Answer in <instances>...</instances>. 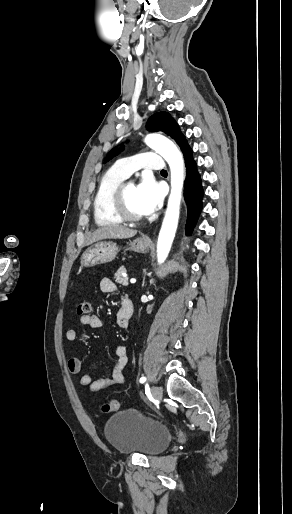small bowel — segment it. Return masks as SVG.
Instances as JSON below:
<instances>
[{
	"instance_id": "c3829d8e",
	"label": "small bowel",
	"mask_w": 292,
	"mask_h": 514,
	"mask_svg": "<svg viewBox=\"0 0 292 514\" xmlns=\"http://www.w3.org/2000/svg\"><path fill=\"white\" fill-rule=\"evenodd\" d=\"M100 290L105 294H113L116 292V285L110 278H102L100 281ZM130 318H127L125 312L120 306L116 313V323L120 329H127L129 327ZM79 322L82 326H88L92 329H100L102 327V319L97 314H89L81 316ZM79 337V331L75 327H71L66 332V338L69 341H76ZM115 353L118 357L111 374L98 380H93L90 374H83L79 378L80 385H88L90 391L97 392L107 388L123 384L125 382L124 368L127 364V348L119 345L115 348ZM83 368L82 360L78 357H72L68 361V370L73 375L81 373Z\"/></svg>"
}]
</instances>
